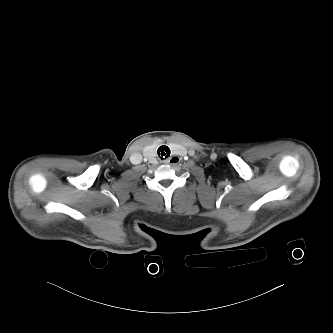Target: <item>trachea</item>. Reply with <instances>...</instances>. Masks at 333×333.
Listing matches in <instances>:
<instances>
[{"mask_svg": "<svg viewBox=\"0 0 333 333\" xmlns=\"http://www.w3.org/2000/svg\"><path fill=\"white\" fill-rule=\"evenodd\" d=\"M157 153L161 159H166L170 156V149L168 146L162 145L158 148Z\"/></svg>", "mask_w": 333, "mask_h": 333, "instance_id": "trachea-1", "label": "trachea"}]
</instances>
